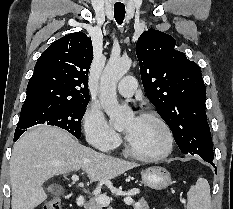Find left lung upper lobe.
<instances>
[{"label": "left lung upper lobe", "mask_w": 233, "mask_h": 209, "mask_svg": "<svg viewBox=\"0 0 233 209\" xmlns=\"http://www.w3.org/2000/svg\"><path fill=\"white\" fill-rule=\"evenodd\" d=\"M175 39L158 30L136 44L143 87L184 154L213 158L205 112L206 88L199 66L175 50Z\"/></svg>", "instance_id": "5c2ea615"}]
</instances>
